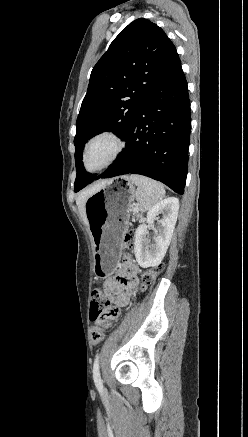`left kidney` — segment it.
<instances>
[{"mask_svg": "<svg viewBox=\"0 0 248 437\" xmlns=\"http://www.w3.org/2000/svg\"><path fill=\"white\" fill-rule=\"evenodd\" d=\"M178 210L179 200L174 197L159 202L149 210L145 220L148 224H152L157 216L162 214V218L158 221V227L154 229L155 240L152 244L145 238L148 226L143 223L137 228L134 253L142 268L157 266L163 260L175 228Z\"/></svg>", "mask_w": 248, "mask_h": 437, "instance_id": "1", "label": "left kidney"}]
</instances>
